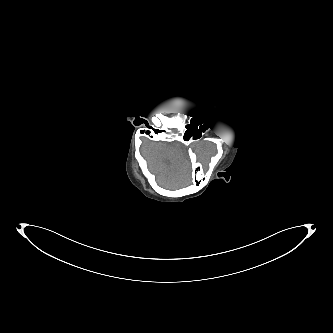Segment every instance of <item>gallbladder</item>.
<instances>
[{
  "label": "gallbladder",
  "mask_w": 333,
  "mask_h": 333,
  "mask_svg": "<svg viewBox=\"0 0 333 333\" xmlns=\"http://www.w3.org/2000/svg\"><path fill=\"white\" fill-rule=\"evenodd\" d=\"M187 104H188L189 106L191 105V103H190L189 101L187 102Z\"/></svg>",
  "instance_id": "gallbladder-1"
}]
</instances>
